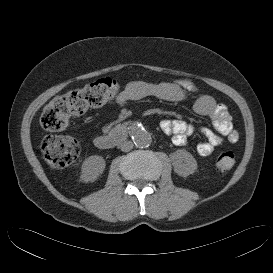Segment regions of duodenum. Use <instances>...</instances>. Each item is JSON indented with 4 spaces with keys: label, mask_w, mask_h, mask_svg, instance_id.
<instances>
[{
    "label": "duodenum",
    "mask_w": 273,
    "mask_h": 273,
    "mask_svg": "<svg viewBox=\"0 0 273 273\" xmlns=\"http://www.w3.org/2000/svg\"><path fill=\"white\" fill-rule=\"evenodd\" d=\"M128 136L126 126H121L106 135L94 138V145L99 149H111L124 142Z\"/></svg>",
    "instance_id": "duodenum-1"
}]
</instances>
